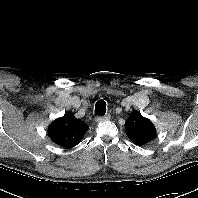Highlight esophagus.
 I'll use <instances>...</instances> for the list:
<instances>
[{
    "instance_id": "1",
    "label": "esophagus",
    "mask_w": 198,
    "mask_h": 198,
    "mask_svg": "<svg viewBox=\"0 0 198 198\" xmlns=\"http://www.w3.org/2000/svg\"><path fill=\"white\" fill-rule=\"evenodd\" d=\"M110 118H111V116H110L109 114H107V115H105V116L99 115V116H97V117L95 118V121H96V122H103V121L109 120Z\"/></svg>"
}]
</instances>
